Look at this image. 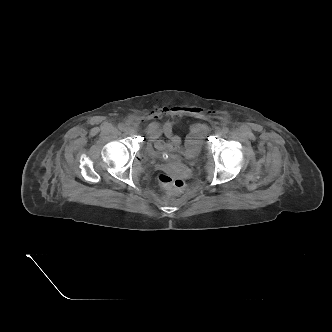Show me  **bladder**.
I'll return each mask as SVG.
<instances>
[{
	"mask_svg": "<svg viewBox=\"0 0 332 332\" xmlns=\"http://www.w3.org/2000/svg\"><path fill=\"white\" fill-rule=\"evenodd\" d=\"M181 156L189 161L195 160L197 159L201 152H202V145H199L197 147L194 148H190L188 146H183L181 149ZM154 157H156V155L153 154Z\"/></svg>",
	"mask_w": 332,
	"mask_h": 332,
	"instance_id": "31cf9c89",
	"label": "bladder"
}]
</instances>
